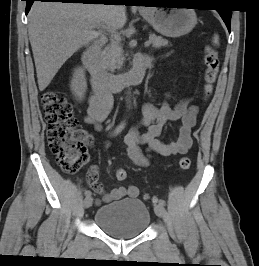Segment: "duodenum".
I'll return each instance as SVG.
<instances>
[{"label": "duodenum", "instance_id": "1", "mask_svg": "<svg viewBox=\"0 0 259 266\" xmlns=\"http://www.w3.org/2000/svg\"><path fill=\"white\" fill-rule=\"evenodd\" d=\"M105 39L100 38L92 43L83 53L82 60L91 74L93 85L99 90L113 92L126 85H136L143 81L148 60L138 56L131 71L122 74H113L105 70L98 59V53Z\"/></svg>", "mask_w": 259, "mask_h": 266}]
</instances>
